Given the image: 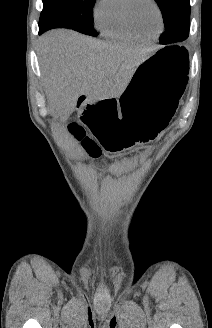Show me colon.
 <instances>
[{"mask_svg":"<svg viewBox=\"0 0 212 328\" xmlns=\"http://www.w3.org/2000/svg\"><path fill=\"white\" fill-rule=\"evenodd\" d=\"M68 128L89 157L97 159L102 155L103 146H98V140H94V137L89 136L81 124L74 122L71 123Z\"/></svg>","mask_w":212,"mask_h":328,"instance_id":"1","label":"colon"}]
</instances>
